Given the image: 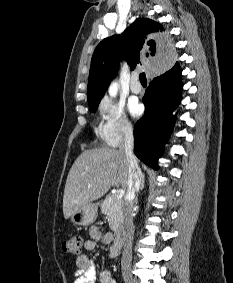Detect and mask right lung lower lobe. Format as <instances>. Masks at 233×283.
Returning <instances> with one entry per match:
<instances>
[{
    "label": "right lung lower lobe",
    "instance_id": "98d812e1",
    "mask_svg": "<svg viewBox=\"0 0 233 283\" xmlns=\"http://www.w3.org/2000/svg\"><path fill=\"white\" fill-rule=\"evenodd\" d=\"M181 69L172 68L153 78L142 99L144 116L134 128V153L145 164L157 169V160L174 126L172 112L180 103Z\"/></svg>",
    "mask_w": 233,
    "mask_h": 283
}]
</instances>
